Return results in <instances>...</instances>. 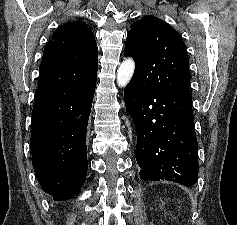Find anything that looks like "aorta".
Listing matches in <instances>:
<instances>
[{"label":"aorta","mask_w":237,"mask_h":225,"mask_svg":"<svg viewBox=\"0 0 237 225\" xmlns=\"http://www.w3.org/2000/svg\"><path fill=\"white\" fill-rule=\"evenodd\" d=\"M135 69L134 61L128 58L122 62L117 70V83L120 87H125L133 76Z\"/></svg>","instance_id":"aorta-1"}]
</instances>
